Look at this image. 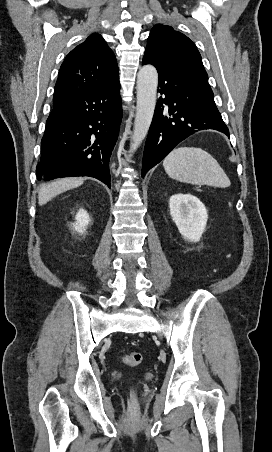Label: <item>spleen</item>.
Instances as JSON below:
<instances>
[{"label": "spleen", "instance_id": "spleen-1", "mask_svg": "<svg viewBox=\"0 0 272 452\" xmlns=\"http://www.w3.org/2000/svg\"><path fill=\"white\" fill-rule=\"evenodd\" d=\"M163 166L171 178L180 182L222 188L231 184L217 160L201 148H176L164 159Z\"/></svg>", "mask_w": 272, "mask_h": 452}]
</instances>
